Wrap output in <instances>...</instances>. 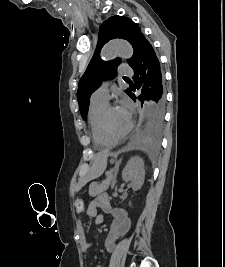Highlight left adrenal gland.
<instances>
[{
    "label": "left adrenal gland",
    "instance_id": "obj_1",
    "mask_svg": "<svg viewBox=\"0 0 225 267\" xmlns=\"http://www.w3.org/2000/svg\"><path fill=\"white\" fill-rule=\"evenodd\" d=\"M120 163H121V161L119 160V161H117L116 164H115L114 179H116V176H117V173H118V170H119ZM115 182H116V180H115ZM115 182H114V184H115ZM114 184H113V186H114ZM113 186H112V187H113Z\"/></svg>",
    "mask_w": 225,
    "mask_h": 267
}]
</instances>
